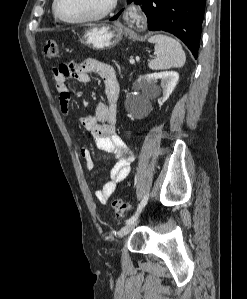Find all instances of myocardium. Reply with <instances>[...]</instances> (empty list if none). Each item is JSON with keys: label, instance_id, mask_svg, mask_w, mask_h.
<instances>
[{"label": "myocardium", "instance_id": "myocardium-1", "mask_svg": "<svg viewBox=\"0 0 247 299\" xmlns=\"http://www.w3.org/2000/svg\"><path fill=\"white\" fill-rule=\"evenodd\" d=\"M58 2L59 0H54L53 7H52L53 13L58 20L66 24H82V23L95 22L105 18L115 8L117 0H109L106 6L100 12L91 16L82 17L78 19L64 18L58 11Z\"/></svg>", "mask_w": 247, "mask_h": 299}]
</instances>
